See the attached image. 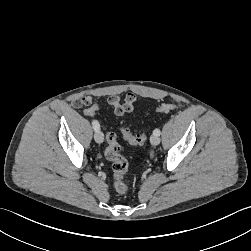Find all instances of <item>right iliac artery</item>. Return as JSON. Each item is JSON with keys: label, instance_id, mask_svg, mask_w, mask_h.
<instances>
[{"label": "right iliac artery", "instance_id": "right-iliac-artery-1", "mask_svg": "<svg viewBox=\"0 0 251 251\" xmlns=\"http://www.w3.org/2000/svg\"><path fill=\"white\" fill-rule=\"evenodd\" d=\"M92 126L95 131H98L100 129V125H99L98 121H96V120L92 121Z\"/></svg>", "mask_w": 251, "mask_h": 251}]
</instances>
